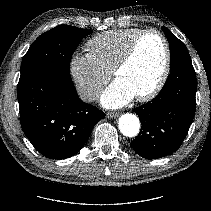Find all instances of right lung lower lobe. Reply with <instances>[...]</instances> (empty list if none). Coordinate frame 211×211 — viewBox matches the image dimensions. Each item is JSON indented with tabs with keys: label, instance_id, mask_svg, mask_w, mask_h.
Here are the masks:
<instances>
[{
	"label": "right lung lower lobe",
	"instance_id": "obj_1",
	"mask_svg": "<svg viewBox=\"0 0 211 211\" xmlns=\"http://www.w3.org/2000/svg\"><path fill=\"white\" fill-rule=\"evenodd\" d=\"M18 102L23 132L35 149L50 159L77 154L94 125L105 117L79 99L71 76L53 70L19 79Z\"/></svg>",
	"mask_w": 211,
	"mask_h": 211
}]
</instances>
